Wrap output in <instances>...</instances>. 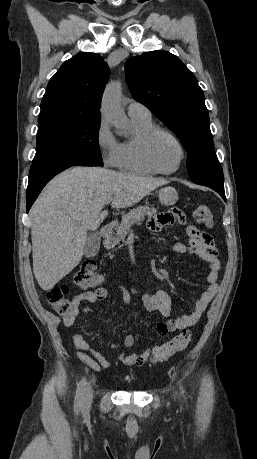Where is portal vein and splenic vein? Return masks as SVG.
Here are the masks:
<instances>
[{
  "instance_id": "obj_1",
  "label": "portal vein and splenic vein",
  "mask_w": 257,
  "mask_h": 459,
  "mask_svg": "<svg viewBox=\"0 0 257 459\" xmlns=\"http://www.w3.org/2000/svg\"><path fill=\"white\" fill-rule=\"evenodd\" d=\"M111 201H112V199H111V198H108V199L105 201L104 205H109V204L111 203Z\"/></svg>"
}]
</instances>
